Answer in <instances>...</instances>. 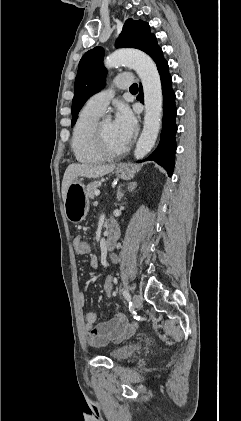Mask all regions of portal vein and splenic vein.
<instances>
[{
  "label": "portal vein and splenic vein",
  "mask_w": 241,
  "mask_h": 421,
  "mask_svg": "<svg viewBox=\"0 0 241 421\" xmlns=\"http://www.w3.org/2000/svg\"><path fill=\"white\" fill-rule=\"evenodd\" d=\"M95 195L96 196H99L100 195V191L99 190L95 191Z\"/></svg>",
  "instance_id": "portal-vein-and-splenic-vein-1"
}]
</instances>
